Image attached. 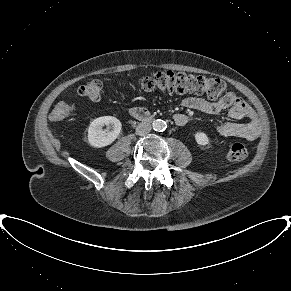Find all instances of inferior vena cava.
<instances>
[{
	"label": "inferior vena cava",
	"instance_id": "1",
	"mask_svg": "<svg viewBox=\"0 0 291 291\" xmlns=\"http://www.w3.org/2000/svg\"><path fill=\"white\" fill-rule=\"evenodd\" d=\"M151 131V125L147 122L139 123L136 127V134L137 135H146Z\"/></svg>",
	"mask_w": 291,
	"mask_h": 291
}]
</instances>
